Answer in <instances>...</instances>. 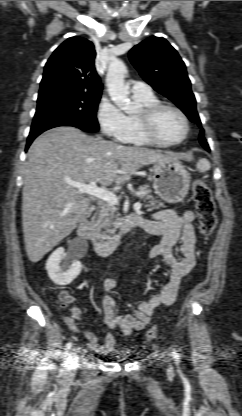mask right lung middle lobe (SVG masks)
Listing matches in <instances>:
<instances>
[{"label": "right lung middle lobe", "mask_w": 242, "mask_h": 416, "mask_svg": "<svg viewBox=\"0 0 242 416\" xmlns=\"http://www.w3.org/2000/svg\"><path fill=\"white\" fill-rule=\"evenodd\" d=\"M100 97L101 94L71 91H55L39 95L31 128L63 120H72L82 123L89 131H98L99 124L96 112Z\"/></svg>", "instance_id": "1"}]
</instances>
